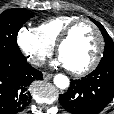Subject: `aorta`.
<instances>
[{
	"instance_id": "obj_1",
	"label": "aorta",
	"mask_w": 114,
	"mask_h": 114,
	"mask_svg": "<svg viewBox=\"0 0 114 114\" xmlns=\"http://www.w3.org/2000/svg\"><path fill=\"white\" fill-rule=\"evenodd\" d=\"M69 79L66 75L57 74L54 76V84L60 89H66L69 87Z\"/></svg>"
}]
</instances>
